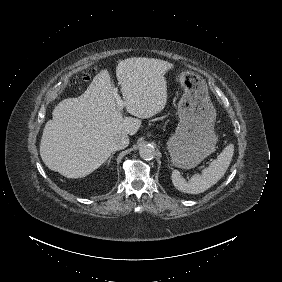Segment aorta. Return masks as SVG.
<instances>
[{"label":"aorta","instance_id":"1","mask_svg":"<svg viewBox=\"0 0 282 282\" xmlns=\"http://www.w3.org/2000/svg\"><path fill=\"white\" fill-rule=\"evenodd\" d=\"M139 155L141 158L145 160H150L154 158V156L156 155V151L152 145L144 144L139 149Z\"/></svg>","mask_w":282,"mask_h":282}]
</instances>
